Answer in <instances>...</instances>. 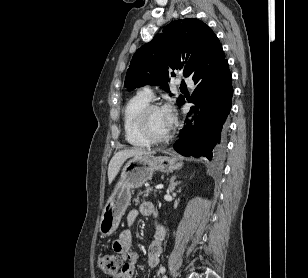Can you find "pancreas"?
I'll return each instance as SVG.
<instances>
[{
  "label": "pancreas",
  "instance_id": "cf45deb5",
  "mask_svg": "<svg viewBox=\"0 0 308 278\" xmlns=\"http://www.w3.org/2000/svg\"><path fill=\"white\" fill-rule=\"evenodd\" d=\"M152 192V189L149 187H146L144 190H140L138 192L137 197L134 199L135 203H139V196H143V198L147 197Z\"/></svg>",
  "mask_w": 308,
  "mask_h": 278
}]
</instances>
